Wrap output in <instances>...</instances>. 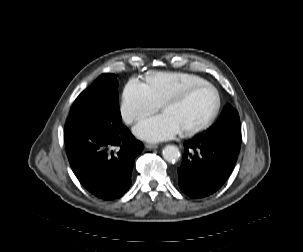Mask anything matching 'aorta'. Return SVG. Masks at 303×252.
<instances>
[{"label": "aorta", "instance_id": "762f6f07", "mask_svg": "<svg viewBox=\"0 0 303 252\" xmlns=\"http://www.w3.org/2000/svg\"><path fill=\"white\" fill-rule=\"evenodd\" d=\"M163 158L169 163H175L180 158V151L175 145H167L162 151Z\"/></svg>", "mask_w": 303, "mask_h": 252}]
</instances>
